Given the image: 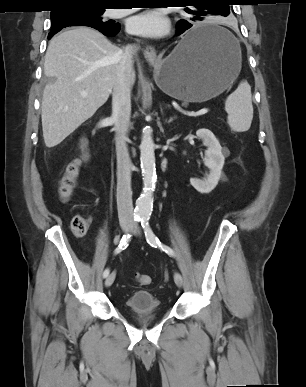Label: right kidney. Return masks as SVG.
Returning <instances> with one entry per match:
<instances>
[{"label":"right kidney","instance_id":"right-kidney-1","mask_svg":"<svg viewBox=\"0 0 306 387\" xmlns=\"http://www.w3.org/2000/svg\"><path fill=\"white\" fill-rule=\"evenodd\" d=\"M82 143H83L82 147H86V141H82Z\"/></svg>","mask_w":306,"mask_h":387}]
</instances>
